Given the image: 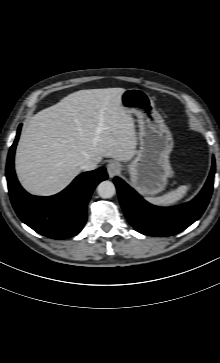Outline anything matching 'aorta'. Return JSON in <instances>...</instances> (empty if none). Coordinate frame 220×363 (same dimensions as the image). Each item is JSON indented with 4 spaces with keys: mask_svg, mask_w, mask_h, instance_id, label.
Listing matches in <instances>:
<instances>
[{
    "mask_svg": "<svg viewBox=\"0 0 220 363\" xmlns=\"http://www.w3.org/2000/svg\"><path fill=\"white\" fill-rule=\"evenodd\" d=\"M97 192L101 198L108 199L115 195L116 188L111 181L105 180L97 186Z\"/></svg>",
    "mask_w": 220,
    "mask_h": 363,
    "instance_id": "obj_1",
    "label": "aorta"
}]
</instances>
